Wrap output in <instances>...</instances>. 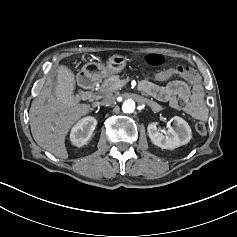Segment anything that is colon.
I'll list each match as a JSON object with an SVG mask.
<instances>
[{"instance_id": "1", "label": "colon", "mask_w": 237, "mask_h": 237, "mask_svg": "<svg viewBox=\"0 0 237 237\" xmlns=\"http://www.w3.org/2000/svg\"><path fill=\"white\" fill-rule=\"evenodd\" d=\"M145 62L151 66H161L165 63L164 56L160 54H150L145 57ZM175 75L184 78L185 80H190L194 77L195 73L187 67L178 66L175 70ZM195 130L198 134L204 135L207 132V126L204 122H197L195 125Z\"/></svg>"}]
</instances>
